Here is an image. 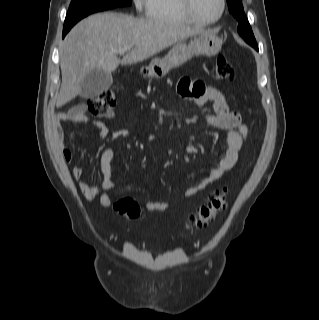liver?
I'll return each instance as SVG.
<instances>
[{"mask_svg":"<svg viewBox=\"0 0 319 320\" xmlns=\"http://www.w3.org/2000/svg\"><path fill=\"white\" fill-rule=\"evenodd\" d=\"M205 32L182 24L158 19H137L120 13L91 15L76 24L60 46L62 83L57 108L81 91L85 76L95 69L110 73L119 64L146 60L169 46ZM131 46L120 59L119 48Z\"/></svg>","mask_w":319,"mask_h":320,"instance_id":"obj_1","label":"liver"}]
</instances>
